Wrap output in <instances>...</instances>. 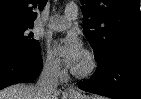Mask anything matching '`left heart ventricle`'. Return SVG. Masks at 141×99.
I'll return each instance as SVG.
<instances>
[{
	"mask_svg": "<svg viewBox=\"0 0 141 99\" xmlns=\"http://www.w3.org/2000/svg\"><path fill=\"white\" fill-rule=\"evenodd\" d=\"M84 63V59H82V61L80 62V64L78 66H82Z\"/></svg>",
	"mask_w": 141,
	"mask_h": 99,
	"instance_id": "b2bd125f",
	"label": "left heart ventricle"
}]
</instances>
